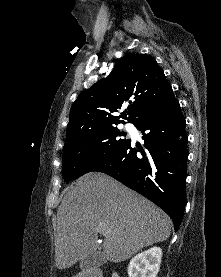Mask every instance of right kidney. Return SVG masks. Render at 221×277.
<instances>
[{
	"mask_svg": "<svg viewBox=\"0 0 221 277\" xmlns=\"http://www.w3.org/2000/svg\"><path fill=\"white\" fill-rule=\"evenodd\" d=\"M162 257L160 247H152L134 256L128 265L129 277H157Z\"/></svg>",
	"mask_w": 221,
	"mask_h": 277,
	"instance_id": "right-kidney-1",
	"label": "right kidney"
}]
</instances>
